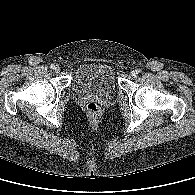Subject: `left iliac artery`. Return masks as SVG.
Segmentation results:
<instances>
[{"mask_svg":"<svg viewBox=\"0 0 195 195\" xmlns=\"http://www.w3.org/2000/svg\"><path fill=\"white\" fill-rule=\"evenodd\" d=\"M136 71V73H139L140 72V70H135Z\"/></svg>","mask_w":195,"mask_h":195,"instance_id":"obj_1","label":"left iliac artery"}]
</instances>
